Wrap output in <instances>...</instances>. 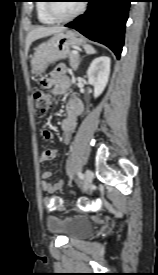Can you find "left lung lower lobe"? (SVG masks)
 Masks as SVG:
<instances>
[{"label":"left lung lower lobe","instance_id":"1","mask_svg":"<svg viewBox=\"0 0 158 275\" xmlns=\"http://www.w3.org/2000/svg\"><path fill=\"white\" fill-rule=\"evenodd\" d=\"M131 0H89L87 11L67 27L109 47L120 57Z\"/></svg>","mask_w":158,"mask_h":275}]
</instances>
